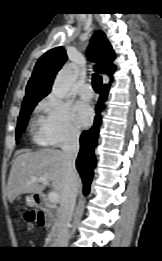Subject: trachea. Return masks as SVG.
<instances>
[{"mask_svg": "<svg viewBox=\"0 0 162 261\" xmlns=\"http://www.w3.org/2000/svg\"><path fill=\"white\" fill-rule=\"evenodd\" d=\"M92 85L96 92L100 91L101 85H102V78L100 75L94 73L92 77Z\"/></svg>", "mask_w": 162, "mask_h": 261, "instance_id": "3493384b", "label": "trachea"}]
</instances>
